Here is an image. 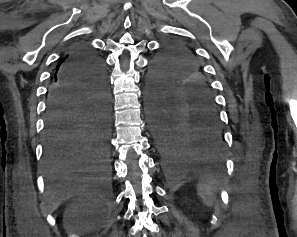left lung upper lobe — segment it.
<instances>
[{"mask_svg": "<svg viewBox=\"0 0 297 237\" xmlns=\"http://www.w3.org/2000/svg\"><path fill=\"white\" fill-rule=\"evenodd\" d=\"M149 99L185 104L206 100L213 102L211 86L198 62L187 49L168 45L155 59L147 76Z\"/></svg>", "mask_w": 297, "mask_h": 237, "instance_id": "5c2ea615", "label": "left lung upper lobe"}]
</instances>
